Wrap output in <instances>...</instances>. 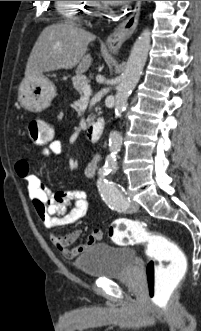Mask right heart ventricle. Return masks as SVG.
Listing matches in <instances>:
<instances>
[{
    "instance_id": "right-heart-ventricle-1",
    "label": "right heart ventricle",
    "mask_w": 201,
    "mask_h": 331,
    "mask_svg": "<svg viewBox=\"0 0 201 331\" xmlns=\"http://www.w3.org/2000/svg\"><path fill=\"white\" fill-rule=\"evenodd\" d=\"M61 16L71 23H80L86 11V1H56Z\"/></svg>"
}]
</instances>
